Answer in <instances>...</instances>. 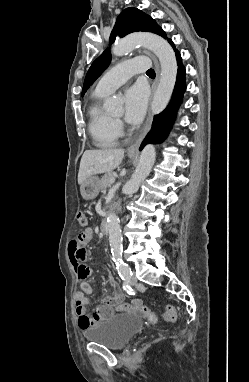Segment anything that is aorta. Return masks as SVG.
Here are the masks:
<instances>
[{"label": "aorta", "instance_id": "762f6f07", "mask_svg": "<svg viewBox=\"0 0 249 382\" xmlns=\"http://www.w3.org/2000/svg\"><path fill=\"white\" fill-rule=\"evenodd\" d=\"M137 45H142L151 50L160 61V80L151 104L152 113L159 114L165 109L175 86L178 70L175 52L162 37L152 33H138L120 39L114 45L112 53L115 56H123L134 50ZM117 106L118 101L114 98H110L106 103L108 110H114ZM155 157V147L151 144L146 145L141 152L136 170L122 189L124 194H133L138 191L140 184L149 175ZM107 227L111 252L115 256H120L122 253V236L119 218L115 213H109Z\"/></svg>", "mask_w": 249, "mask_h": 382}]
</instances>
